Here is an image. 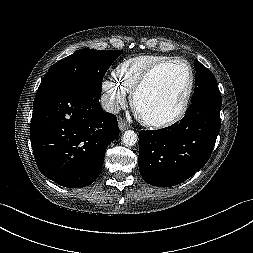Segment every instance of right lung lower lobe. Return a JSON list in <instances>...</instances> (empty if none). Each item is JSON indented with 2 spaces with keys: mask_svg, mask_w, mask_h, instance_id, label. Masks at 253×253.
<instances>
[{
  "mask_svg": "<svg viewBox=\"0 0 253 253\" xmlns=\"http://www.w3.org/2000/svg\"><path fill=\"white\" fill-rule=\"evenodd\" d=\"M67 85L38 90L30 126L39 170L55 183L85 187L102 169L107 146L119 135L116 116L104 112L99 98Z\"/></svg>",
  "mask_w": 253,
  "mask_h": 253,
  "instance_id": "98d812e1",
  "label": "right lung lower lobe"
}]
</instances>
